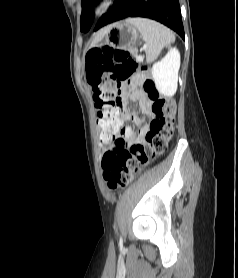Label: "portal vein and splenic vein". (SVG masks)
Listing matches in <instances>:
<instances>
[{
  "label": "portal vein and splenic vein",
  "instance_id": "1",
  "mask_svg": "<svg viewBox=\"0 0 238 278\" xmlns=\"http://www.w3.org/2000/svg\"><path fill=\"white\" fill-rule=\"evenodd\" d=\"M137 60L143 61V57H142V56H138V57H137Z\"/></svg>",
  "mask_w": 238,
  "mask_h": 278
}]
</instances>
